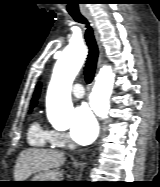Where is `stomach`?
Segmentation results:
<instances>
[{
  "label": "stomach",
  "instance_id": "1",
  "mask_svg": "<svg viewBox=\"0 0 160 187\" xmlns=\"http://www.w3.org/2000/svg\"><path fill=\"white\" fill-rule=\"evenodd\" d=\"M57 179V173L53 171L40 173L36 176H34L31 180L28 181H35V182H29L25 183L22 186L27 187H49L53 186L54 182H48V181H58Z\"/></svg>",
  "mask_w": 160,
  "mask_h": 187
}]
</instances>
